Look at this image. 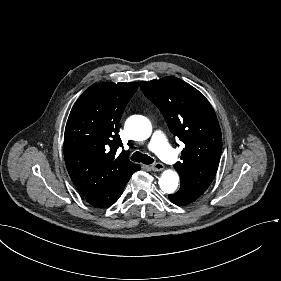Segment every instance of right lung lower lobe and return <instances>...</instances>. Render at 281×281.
Here are the masks:
<instances>
[{"mask_svg": "<svg viewBox=\"0 0 281 281\" xmlns=\"http://www.w3.org/2000/svg\"><path fill=\"white\" fill-rule=\"evenodd\" d=\"M138 170H140V166L135 171ZM134 172L120 178L119 180L112 183L110 186L106 187L105 189L89 197H85L86 200L89 202V204L98 208H106L112 205L121 196L125 185L127 184V182L129 181L130 177Z\"/></svg>", "mask_w": 281, "mask_h": 281, "instance_id": "1", "label": "right lung lower lobe"}]
</instances>
